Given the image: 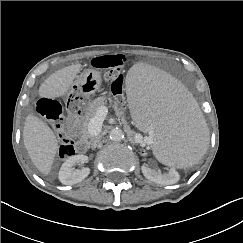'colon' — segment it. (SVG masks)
Here are the masks:
<instances>
[{
    "label": "colon",
    "instance_id": "1",
    "mask_svg": "<svg viewBox=\"0 0 243 243\" xmlns=\"http://www.w3.org/2000/svg\"><path fill=\"white\" fill-rule=\"evenodd\" d=\"M124 55H104L96 57L92 60L91 66L95 69L104 71L105 79L111 83V90L114 96L119 99L117 102L118 113L121 122L126 128L133 125L128 111L126 110V102L121 99L124 91V81L122 70L126 64ZM37 109L39 113L46 118L55 130L59 133L60 145L59 155L62 158H68L75 153L76 141L65 129V121L63 116L62 105L59 101L43 97L38 101Z\"/></svg>",
    "mask_w": 243,
    "mask_h": 243
}]
</instances>
